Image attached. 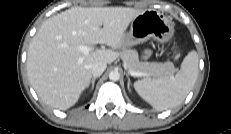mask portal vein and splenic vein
<instances>
[{
  "mask_svg": "<svg viewBox=\"0 0 231 134\" xmlns=\"http://www.w3.org/2000/svg\"><path fill=\"white\" fill-rule=\"evenodd\" d=\"M78 49L83 53V54H88L89 52L93 51L92 47L89 46H84V45H80L78 46ZM129 74L133 77H143V76H147L146 73L143 72H136V71H129Z\"/></svg>",
  "mask_w": 231,
  "mask_h": 134,
  "instance_id": "obj_1",
  "label": "portal vein and splenic vein"
}]
</instances>
